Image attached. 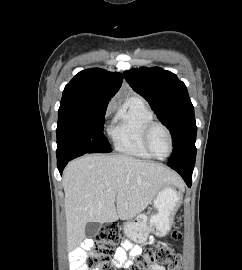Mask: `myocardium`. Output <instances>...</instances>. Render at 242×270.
Listing matches in <instances>:
<instances>
[{
  "label": "myocardium",
  "instance_id": "myocardium-1",
  "mask_svg": "<svg viewBox=\"0 0 242 270\" xmlns=\"http://www.w3.org/2000/svg\"><path fill=\"white\" fill-rule=\"evenodd\" d=\"M157 126L163 128L165 130V132L167 133L168 138H169V144H170L169 152L164 157L157 156L153 152V150L150 146V136H151L152 130ZM143 144H144V147L147 150V152L151 155V157L158 159V160L167 159L168 157L171 156V154L173 153V150H174V141H173V135H172L171 130L168 128L167 125H165L164 123L157 121V120H152L145 126V129L143 132Z\"/></svg>",
  "mask_w": 242,
  "mask_h": 270
}]
</instances>
